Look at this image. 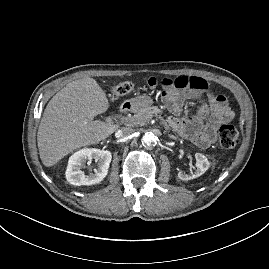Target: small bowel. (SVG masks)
<instances>
[{
  "label": "small bowel",
  "instance_id": "obj_1",
  "mask_svg": "<svg viewBox=\"0 0 269 269\" xmlns=\"http://www.w3.org/2000/svg\"><path fill=\"white\" fill-rule=\"evenodd\" d=\"M148 86L164 93H173L179 90L191 91L194 96L205 93L206 101L199 104L196 113L185 119L170 118L169 124L180 135L191 140L202 148H207L216 140V132L221 124L227 123L234 117V112L228 105L225 96L214 91V85L205 79L196 76H151ZM168 108L179 113L182 100L170 95L167 99Z\"/></svg>",
  "mask_w": 269,
  "mask_h": 269
}]
</instances>
